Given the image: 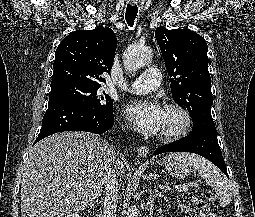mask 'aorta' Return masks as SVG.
<instances>
[{"label":"aorta","instance_id":"762f6f07","mask_svg":"<svg viewBox=\"0 0 255 217\" xmlns=\"http://www.w3.org/2000/svg\"><path fill=\"white\" fill-rule=\"evenodd\" d=\"M152 51L148 47L132 44L124 52L123 61L127 71L133 72L150 63ZM139 211L135 206L127 209L126 217H138Z\"/></svg>","mask_w":255,"mask_h":217}]
</instances>
